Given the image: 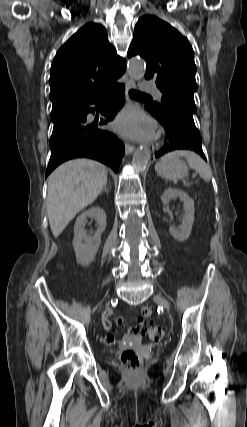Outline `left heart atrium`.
Masks as SVG:
<instances>
[{
    "label": "left heart atrium",
    "mask_w": 247,
    "mask_h": 427,
    "mask_svg": "<svg viewBox=\"0 0 247 427\" xmlns=\"http://www.w3.org/2000/svg\"><path fill=\"white\" fill-rule=\"evenodd\" d=\"M114 128L120 134L139 141L151 139L155 132L154 122L137 108H129L119 114Z\"/></svg>",
    "instance_id": "39dd6f15"
}]
</instances>
